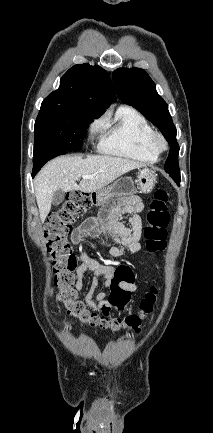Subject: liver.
<instances>
[{
  "instance_id": "1",
  "label": "liver",
  "mask_w": 213,
  "mask_h": 433,
  "mask_svg": "<svg viewBox=\"0 0 213 433\" xmlns=\"http://www.w3.org/2000/svg\"><path fill=\"white\" fill-rule=\"evenodd\" d=\"M144 167V164L129 159L107 155L58 157L45 165L34 179L35 196L41 222L51 210L52 197L57 189L64 192L79 190L84 193L96 192L121 175ZM83 175H93L90 179L76 181Z\"/></svg>"
}]
</instances>
